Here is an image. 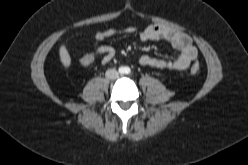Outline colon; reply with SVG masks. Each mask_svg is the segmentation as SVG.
I'll list each match as a JSON object with an SVG mask.
<instances>
[{"mask_svg": "<svg viewBox=\"0 0 248 165\" xmlns=\"http://www.w3.org/2000/svg\"><path fill=\"white\" fill-rule=\"evenodd\" d=\"M94 61V57L91 54H85L80 58V63L83 66H88ZM192 73H197L200 70V65L198 63L192 64L190 68Z\"/></svg>", "mask_w": 248, "mask_h": 165, "instance_id": "5ec220e1", "label": "colon"}]
</instances>
